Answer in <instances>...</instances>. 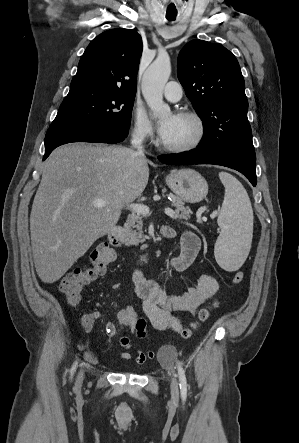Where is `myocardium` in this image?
I'll list each match as a JSON object with an SVG mask.
<instances>
[{
  "mask_svg": "<svg viewBox=\"0 0 299 443\" xmlns=\"http://www.w3.org/2000/svg\"><path fill=\"white\" fill-rule=\"evenodd\" d=\"M177 116L191 120L196 127V133L194 138L183 145H169L166 144L162 138L158 141V146L161 150L175 153V154H183L196 150L199 148L205 140L206 137V126L203 119L195 112L192 111H181L177 114Z\"/></svg>",
  "mask_w": 299,
  "mask_h": 443,
  "instance_id": "1",
  "label": "myocardium"
}]
</instances>
